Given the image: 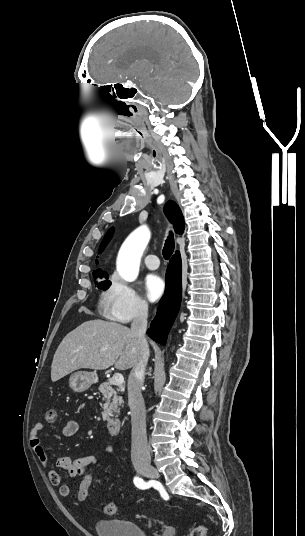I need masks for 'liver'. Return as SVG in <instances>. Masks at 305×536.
<instances>
[{
  "mask_svg": "<svg viewBox=\"0 0 305 536\" xmlns=\"http://www.w3.org/2000/svg\"><path fill=\"white\" fill-rule=\"evenodd\" d=\"M141 352L140 340L126 326L90 320L69 332L59 344L51 366V380L57 382L80 368L107 370L115 366L117 370H129L137 366Z\"/></svg>",
  "mask_w": 305,
  "mask_h": 536,
  "instance_id": "1",
  "label": "liver"
}]
</instances>
